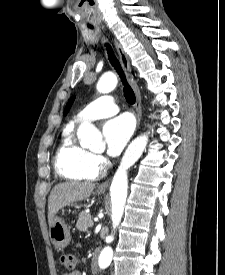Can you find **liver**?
<instances>
[{"mask_svg":"<svg viewBox=\"0 0 225 275\" xmlns=\"http://www.w3.org/2000/svg\"><path fill=\"white\" fill-rule=\"evenodd\" d=\"M95 188L93 183L65 182L57 184L48 199V223L51 224L57 212L74 202L89 198Z\"/></svg>","mask_w":225,"mask_h":275,"instance_id":"6515ba94","label":"liver"}]
</instances>
